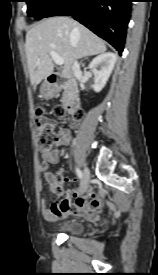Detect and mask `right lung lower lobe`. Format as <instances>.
<instances>
[{
  "label": "right lung lower lobe",
  "instance_id": "obj_1",
  "mask_svg": "<svg viewBox=\"0 0 158 275\" xmlns=\"http://www.w3.org/2000/svg\"><path fill=\"white\" fill-rule=\"evenodd\" d=\"M132 0H62L45 17L72 15L121 55L124 48Z\"/></svg>",
  "mask_w": 158,
  "mask_h": 275
}]
</instances>
